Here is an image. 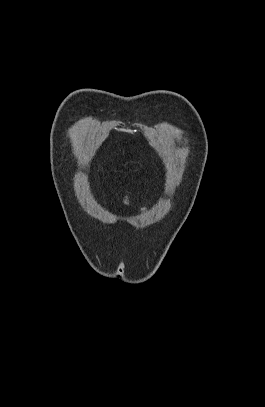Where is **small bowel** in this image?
<instances>
[{"label":"small bowel","instance_id":"c3829d8e","mask_svg":"<svg viewBox=\"0 0 265 407\" xmlns=\"http://www.w3.org/2000/svg\"><path fill=\"white\" fill-rule=\"evenodd\" d=\"M123 204H124L126 207H129V206L131 205V194H130V192H127V193L124 194V196H123ZM141 212H142L143 214H145V213L147 212V206H146V205H144V206L141 208Z\"/></svg>","mask_w":265,"mask_h":407}]
</instances>
